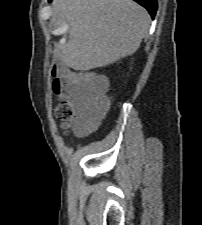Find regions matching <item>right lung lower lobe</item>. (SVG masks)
Wrapping results in <instances>:
<instances>
[{
	"label": "right lung lower lobe",
	"mask_w": 202,
	"mask_h": 225,
	"mask_svg": "<svg viewBox=\"0 0 202 225\" xmlns=\"http://www.w3.org/2000/svg\"><path fill=\"white\" fill-rule=\"evenodd\" d=\"M49 1H52V0H49ZM134 1H136L137 3L145 7L150 13V15L152 16V18H154L156 10H157L156 0H134Z\"/></svg>",
	"instance_id": "1"
}]
</instances>
